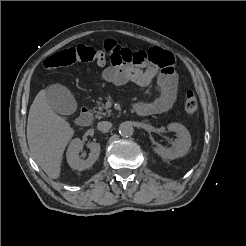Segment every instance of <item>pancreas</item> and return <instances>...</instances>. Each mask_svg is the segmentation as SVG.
<instances>
[{
  "mask_svg": "<svg viewBox=\"0 0 246 246\" xmlns=\"http://www.w3.org/2000/svg\"><path fill=\"white\" fill-rule=\"evenodd\" d=\"M97 109L98 110L95 111V113H96V115H95L96 119H101V118L106 117V116H108V115L111 114V111L109 109H107L103 103H101V105H99L97 107Z\"/></svg>",
  "mask_w": 246,
  "mask_h": 246,
  "instance_id": "cf45deb5",
  "label": "pancreas"
}]
</instances>
